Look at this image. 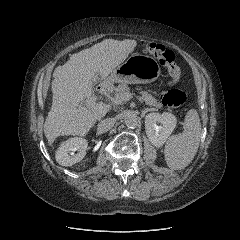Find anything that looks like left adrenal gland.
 Here are the masks:
<instances>
[{
    "label": "left adrenal gland",
    "instance_id": "obj_1",
    "mask_svg": "<svg viewBox=\"0 0 240 240\" xmlns=\"http://www.w3.org/2000/svg\"><path fill=\"white\" fill-rule=\"evenodd\" d=\"M150 109H145V111H149Z\"/></svg>",
    "mask_w": 240,
    "mask_h": 240
}]
</instances>
